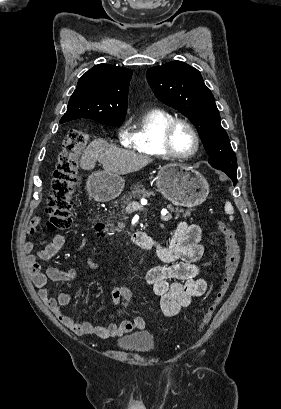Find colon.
Listing matches in <instances>:
<instances>
[{"instance_id": "colon-1", "label": "colon", "mask_w": 281, "mask_h": 409, "mask_svg": "<svg viewBox=\"0 0 281 409\" xmlns=\"http://www.w3.org/2000/svg\"><path fill=\"white\" fill-rule=\"evenodd\" d=\"M89 142L90 134L84 129H72L65 136L63 149L57 157V169L51 195L45 208L48 217L47 226L51 230H63L70 225L71 213L74 209L75 187L78 183L76 161ZM219 230L226 247V261L214 298L198 322L200 330L207 326L224 300L240 260V245L235 231L224 222L219 223Z\"/></svg>"}]
</instances>
